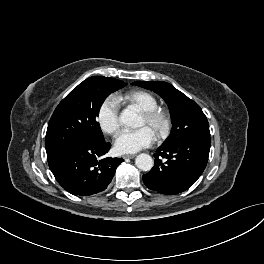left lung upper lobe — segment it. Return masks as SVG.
Segmentation results:
<instances>
[{"label": "left lung upper lobe", "mask_w": 264, "mask_h": 264, "mask_svg": "<svg viewBox=\"0 0 264 264\" xmlns=\"http://www.w3.org/2000/svg\"><path fill=\"white\" fill-rule=\"evenodd\" d=\"M132 84L153 90L167 103L173 127L163 144L178 143L189 138L210 137L209 124L201 108L171 84L163 81H135Z\"/></svg>", "instance_id": "1"}]
</instances>
